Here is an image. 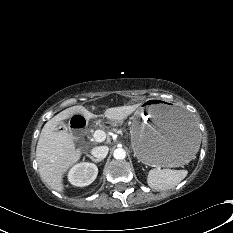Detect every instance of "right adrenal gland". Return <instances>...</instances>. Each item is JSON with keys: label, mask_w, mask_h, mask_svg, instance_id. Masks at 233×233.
Returning <instances> with one entry per match:
<instances>
[{"label": "right adrenal gland", "mask_w": 233, "mask_h": 233, "mask_svg": "<svg viewBox=\"0 0 233 233\" xmlns=\"http://www.w3.org/2000/svg\"><path fill=\"white\" fill-rule=\"evenodd\" d=\"M88 157H89L93 162H95V163H98V162H101V161H102V159H96V158H94V157L91 156V155H88Z\"/></svg>", "instance_id": "obj_1"}]
</instances>
